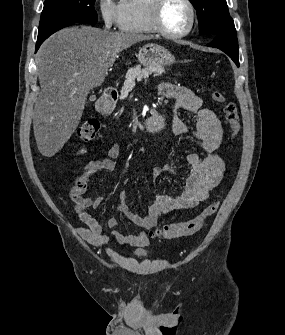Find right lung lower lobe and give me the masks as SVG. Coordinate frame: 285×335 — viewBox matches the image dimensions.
I'll return each instance as SVG.
<instances>
[{
	"label": "right lung lower lobe",
	"instance_id": "right-lung-lower-lobe-1",
	"mask_svg": "<svg viewBox=\"0 0 285 335\" xmlns=\"http://www.w3.org/2000/svg\"><path fill=\"white\" fill-rule=\"evenodd\" d=\"M72 23H76V22H67V23L61 24L60 26L50 30L45 35H38V40H37V43H36V51L39 49L40 45L45 41V39H47L51 34H53L54 32L66 27L67 25L72 24Z\"/></svg>",
	"mask_w": 285,
	"mask_h": 335
}]
</instances>
